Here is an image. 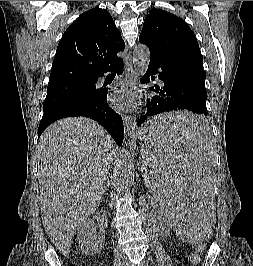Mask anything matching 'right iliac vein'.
I'll return each mask as SVG.
<instances>
[{
    "mask_svg": "<svg viewBox=\"0 0 253 266\" xmlns=\"http://www.w3.org/2000/svg\"><path fill=\"white\" fill-rule=\"evenodd\" d=\"M125 258L122 256H117L114 260L113 266H124Z\"/></svg>",
    "mask_w": 253,
    "mask_h": 266,
    "instance_id": "right-iliac-vein-1",
    "label": "right iliac vein"
}]
</instances>
